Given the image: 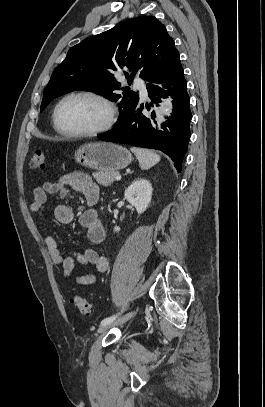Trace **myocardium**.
<instances>
[{"mask_svg": "<svg viewBox=\"0 0 265 407\" xmlns=\"http://www.w3.org/2000/svg\"><path fill=\"white\" fill-rule=\"evenodd\" d=\"M73 97H87L94 99L98 102H100L107 110V118L105 122L100 125L99 127H96L91 130H86V131H68L63 129L58 120V113L61 105L68 99L73 98ZM117 119V108L115 104L106 96L99 94L97 92L93 91H74L71 93H68L64 97H62L58 103L56 104L54 110H53V123L55 129L64 136L67 137H74V138H83V137H94L100 134H103L107 131H109L115 124Z\"/></svg>", "mask_w": 265, "mask_h": 407, "instance_id": "f54148a6", "label": "myocardium"}]
</instances>
